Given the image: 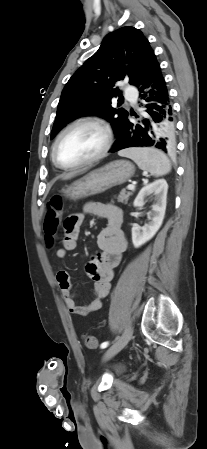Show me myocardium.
Listing matches in <instances>:
<instances>
[{"label": "myocardium", "instance_id": "f54148a6", "mask_svg": "<svg viewBox=\"0 0 207 449\" xmlns=\"http://www.w3.org/2000/svg\"><path fill=\"white\" fill-rule=\"evenodd\" d=\"M81 125L91 126V127L96 128L97 130H99L103 136V146L95 156H93L85 161L75 163L72 165H64L59 161L58 156H57V148H58L59 142L62 139V137L69 130H71L72 128H74L76 126H81ZM112 142H113V133H112V130L110 129V127L106 123H104L103 121H100V120H96V119H89V118L78 119V120L73 121L69 125H67L55 139L53 147H52V159H53V162L55 163V165L63 170L77 169L80 167L91 165V164L101 160L103 157H105L111 148Z\"/></svg>", "mask_w": 207, "mask_h": 449}]
</instances>
